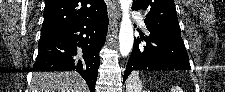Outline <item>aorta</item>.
I'll list each match as a JSON object with an SVG mask.
<instances>
[{
  "label": "aorta",
  "instance_id": "obj_1",
  "mask_svg": "<svg viewBox=\"0 0 225 92\" xmlns=\"http://www.w3.org/2000/svg\"><path fill=\"white\" fill-rule=\"evenodd\" d=\"M122 9V21L119 32V50L122 56H127L133 47V27L130 18L132 0H119Z\"/></svg>",
  "mask_w": 225,
  "mask_h": 92
}]
</instances>
